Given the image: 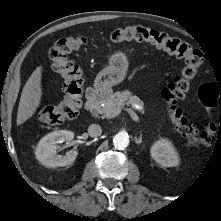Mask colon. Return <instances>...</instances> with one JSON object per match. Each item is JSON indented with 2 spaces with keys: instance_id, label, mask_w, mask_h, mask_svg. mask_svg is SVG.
<instances>
[{
  "instance_id": "colon-1",
  "label": "colon",
  "mask_w": 221,
  "mask_h": 221,
  "mask_svg": "<svg viewBox=\"0 0 221 221\" xmlns=\"http://www.w3.org/2000/svg\"><path fill=\"white\" fill-rule=\"evenodd\" d=\"M113 43L129 41L148 42L167 53L184 60L181 73L163 90L162 97L167 106L170 120L177 131L191 145L210 144L215 132L210 125L198 129L184 114L178 102L185 98L190 89L191 80L197 75L203 61L201 52L187 43L151 28L132 26L115 29L109 36ZM88 40L84 36H69L59 39L49 50V58L54 72L63 80V98L57 105L43 109L39 120L46 125H58L77 116L81 106L83 79L80 67L69 59V55L82 48ZM221 95L214 84H203L199 97L208 112L221 103ZM220 98H219V97Z\"/></svg>"
}]
</instances>
